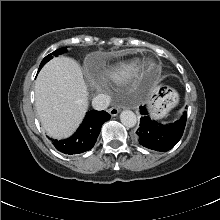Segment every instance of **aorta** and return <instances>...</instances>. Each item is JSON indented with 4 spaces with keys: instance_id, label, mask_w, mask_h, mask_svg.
<instances>
[{
    "instance_id": "1",
    "label": "aorta",
    "mask_w": 220,
    "mask_h": 220,
    "mask_svg": "<svg viewBox=\"0 0 220 220\" xmlns=\"http://www.w3.org/2000/svg\"><path fill=\"white\" fill-rule=\"evenodd\" d=\"M121 123L128 128H132L137 123L136 115L131 110H124L120 114Z\"/></svg>"
}]
</instances>
